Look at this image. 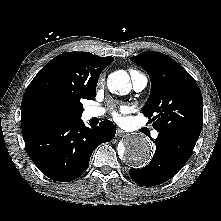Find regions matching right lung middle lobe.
Segmentation results:
<instances>
[{
    "instance_id": "dd1d6c3e",
    "label": "right lung middle lobe",
    "mask_w": 221,
    "mask_h": 221,
    "mask_svg": "<svg viewBox=\"0 0 221 221\" xmlns=\"http://www.w3.org/2000/svg\"><path fill=\"white\" fill-rule=\"evenodd\" d=\"M80 109H81V111H83V107H82V106H81V108H80Z\"/></svg>"
}]
</instances>
